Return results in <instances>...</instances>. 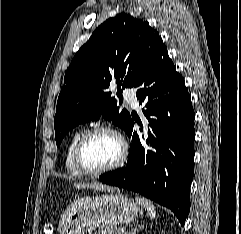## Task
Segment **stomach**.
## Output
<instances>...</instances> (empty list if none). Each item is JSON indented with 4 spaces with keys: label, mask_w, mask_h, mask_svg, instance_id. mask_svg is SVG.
Masks as SVG:
<instances>
[{
    "label": "stomach",
    "mask_w": 241,
    "mask_h": 234,
    "mask_svg": "<svg viewBox=\"0 0 241 234\" xmlns=\"http://www.w3.org/2000/svg\"><path fill=\"white\" fill-rule=\"evenodd\" d=\"M139 207L128 197L106 192L74 201L61 219L59 234H84L97 227L131 223Z\"/></svg>",
    "instance_id": "0dacf381"
}]
</instances>
